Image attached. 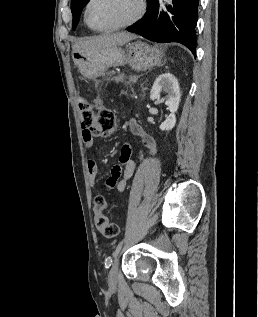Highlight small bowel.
<instances>
[{
	"label": "small bowel",
	"instance_id": "obj_1",
	"mask_svg": "<svg viewBox=\"0 0 258 317\" xmlns=\"http://www.w3.org/2000/svg\"><path fill=\"white\" fill-rule=\"evenodd\" d=\"M131 132L139 136L143 145L147 149L150 155H154L157 150L156 142L154 138L144 131V129L136 122L135 119H131L129 122ZM83 142L86 148H90L93 144V137L83 129L82 131ZM131 148L129 144H124L119 157V162L111 168L110 176L103 184L105 191H111L116 189L119 192L125 191L129 179L134 173L135 163L130 158ZM87 170L89 181L92 186L95 185L96 176L98 173V165L94 159H89L87 162Z\"/></svg>",
	"mask_w": 258,
	"mask_h": 317
}]
</instances>
